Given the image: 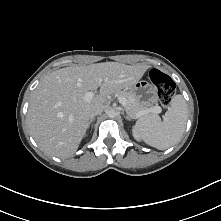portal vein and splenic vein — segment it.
I'll return each instance as SVG.
<instances>
[{
	"mask_svg": "<svg viewBox=\"0 0 221 221\" xmlns=\"http://www.w3.org/2000/svg\"><path fill=\"white\" fill-rule=\"evenodd\" d=\"M93 98H94V93L93 92H86L85 95H84V100L85 101H91ZM118 101L124 107L127 105V100L124 97H118ZM150 112L159 113V112H161V108L159 106H154L152 108L141 111L139 113V116L146 115Z\"/></svg>",
	"mask_w": 221,
	"mask_h": 221,
	"instance_id": "portal-vein-and-splenic-vein-1",
	"label": "portal vein and splenic vein"
}]
</instances>
